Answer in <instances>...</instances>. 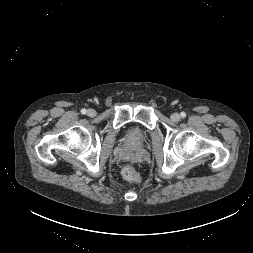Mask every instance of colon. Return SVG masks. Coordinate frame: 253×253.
I'll return each mask as SVG.
<instances>
[{"label": "colon", "instance_id": "obj_1", "mask_svg": "<svg viewBox=\"0 0 253 253\" xmlns=\"http://www.w3.org/2000/svg\"><path fill=\"white\" fill-rule=\"evenodd\" d=\"M123 177L129 181L138 182L140 180L139 174L132 165L124 166L122 170Z\"/></svg>", "mask_w": 253, "mask_h": 253}]
</instances>
